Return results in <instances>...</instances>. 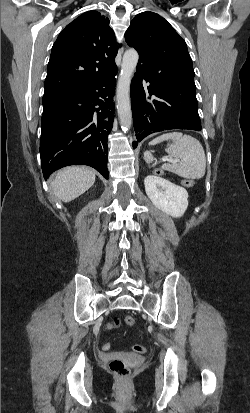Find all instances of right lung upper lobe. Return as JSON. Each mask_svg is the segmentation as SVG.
Instances as JSON below:
<instances>
[{"label": "right lung upper lobe", "mask_w": 250, "mask_h": 413, "mask_svg": "<svg viewBox=\"0 0 250 413\" xmlns=\"http://www.w3.org/2000/svg\"><path fill=\"white\" fill-rule=\"evenodd\" d=\"M118 47L109 19L97 11L83 13L53 44L44 95L87 87L116 70Z\"/></svg>", "instance_id": "obj_1"}]
</instances>
